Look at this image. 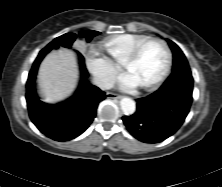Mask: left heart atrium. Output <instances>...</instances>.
Masks as SVG:
<instances>
[{"label":"left heart atrium","mask_w":222,"mask_h":187,"mask_svg":"<svg viewBox=\"0 0 222 187\" xmlns=\"http://www.w3.org/2000/svg\"><path fill=\"white\" fill-rule=\"evenodd\" d=\"M120 86L124 90H131L139 86V84L135 81V79L132 76L126 74L125 76L122 77Z\"/></svg>","instance_id":"left-heart-atrium-1"}]
</instances>
